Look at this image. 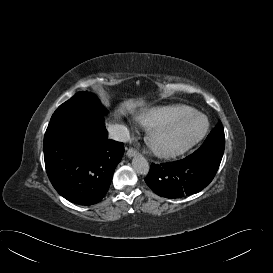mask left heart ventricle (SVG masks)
Wrapping results in <instances>:
<instances>
[{
    "mask_svg": "<svg viewBox=\"0 0 273 273\" xmlns=\"http://www.w3.org/2000/svg\"><path fill=\"white\" fill-rule=\"evenodd\" d=\"M203 121L199 118L190 120L184 125L168 131L157 138V143L161 147H172L182 145L190 141L200 130Z\"/></svg>",
    "mask_w": 273,
    "mask_h": 273,
    "instance_id": "left-heart-ventricle-1",
    "label": "left heart ventricle"
}]
</instances>
